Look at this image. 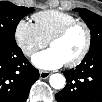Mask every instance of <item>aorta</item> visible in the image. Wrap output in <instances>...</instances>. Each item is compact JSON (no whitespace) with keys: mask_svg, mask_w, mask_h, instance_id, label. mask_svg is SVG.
I'll use <instances>...</instances> for the list:
<instances>
[{"mask_svg":"<svg viewBox=\"0 0 102 102\" xmlns=\"http://www.w3.org/2000/svg\"><path fill=\"white\" fill-rule=\"evenodd\" d=\"M49 83L54 89H62L65 86V77L62 74H52L49 78Z\"/></svg>","mask_w":102,"mask_h":102,"instance_id":"1","label":"aorta"}]
</instances>
